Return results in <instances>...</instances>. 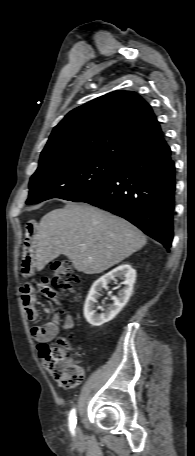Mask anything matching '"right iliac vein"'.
<instances>
[{
    "instance_id": "right-iliac-vein-1",
    "label": "right iliac vein",
    "mask_w": 195,
    "mask_h": 456,
    "mask_svg": "<svg viewBox=\"0 0 195 456\" xmlns=\"http://www.w3.org/2000/svg\"><path fill=\"white\" fill-rule=\"evenodd\" d=\"M79 437H80V431H79V429L77 428V429H76V438L78 439Z\"/></svg>"
}]
</instances>
